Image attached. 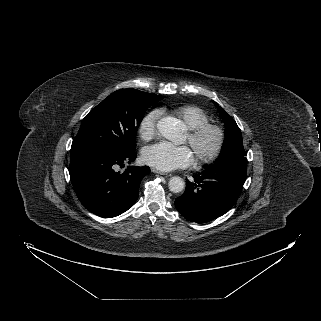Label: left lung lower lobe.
Returning <instances> with one entry per match:
<instances>
[{
	"label": "left lung lower lobe",
	"instance_id": "0a47b994",
	"mask_svg": "<svg viewBox=\"0 0 321 321\" xmlns=\"http://www.w3.org/2000/svg\"><path fill=\"white\" fill-rule=\"evenodd\" d=\"M247 160L238 158L217 162L187 180L175 207L187 220L206 223L229 211L237 201L246 180Z\"/></svg>",
	"mask_w": 321,
	"mask_h": 321
}]
</instances>
